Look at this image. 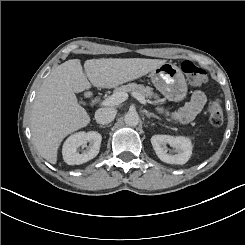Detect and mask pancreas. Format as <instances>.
<instances>
[{
  "mask_svg": "<svg viewBox=\"0 0 245 245\" xmlns=\"http://www.w3.org/2000/svg\"><path fill=\"white\" fill-rule=\"evenodd\" d=\"M132 91H136L140 93L142 96L147 97L149 95H152V88L149 86H144L142 84H136L134 82H130L126 85H120L113 89V93L117 92H125V93H131Z\"/></svg>",
  "mask_w": 245,
  "mask_h": 245,
  "instance_id": "pancreas-1",
  "label": "pancreas"
}]
</instances>
